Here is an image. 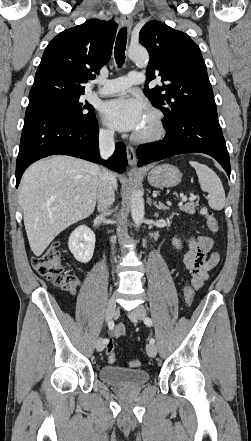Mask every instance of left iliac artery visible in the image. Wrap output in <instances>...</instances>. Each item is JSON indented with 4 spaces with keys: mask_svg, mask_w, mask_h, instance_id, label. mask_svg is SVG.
Returning a JSON list of instances; mask_svg holds the SVG:
<instances>
[{
    "mask_svg": "<svg viewBox=\"0 0 251 441\" xmlns=\"http://www.w3.org/2000/svg\"><path fill=\"white\" fill-rule=\"evenodd\" d=\"M144 323H145L147 326H152V325H153V322H152L151 318H149V317H145V318H144ZM154 343H155V339H154V338H151V339H150V344H154Z\"/></svg>",
    "mask_w": 251,
    "mask_h": 441,
    "instance_id": "44dca946",
    "label": "left iliac artery"
}]
</instances>
